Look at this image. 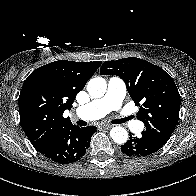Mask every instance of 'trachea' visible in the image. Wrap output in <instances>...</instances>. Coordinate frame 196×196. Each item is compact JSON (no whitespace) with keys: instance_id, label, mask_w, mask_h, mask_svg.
I'll return each instance as SVG.
<instances>
[{"instance_id":"1","label":"trachea","mask_w":196,"mask_h":196,"mask_svg":"<svg viewBox=\"0 0 196 196\" xmlns=\"http://www.w3.org/2000/svg\"><path fill=\"white\" fill-rule=\"evenodd\" d=\"M127 119L128 118H126V119H116V120H113L112 123H114V124H121V123H124Z\"/></svg>"}]
</instances>
